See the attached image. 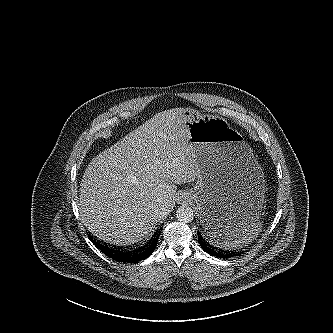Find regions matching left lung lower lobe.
Returning <instances> with one entry per match:
<instances>
[{
  "instance_id": "obj_1",
  "label": "left lung lower lobe",
  "mask_w": 333,
  "mask_h": 333,
  "mask_svg": "<svg viewBox=\"0 0 333 333\" xmlns=\"http://www.w3.org/2000/svg\"><path fill=\"white\" fill-rule=\"evenodd\" d=\"M224 233L221 223L212 222L204 225V228L198 231L201 248L208 254L223 259L237 256V252L226 250L218 244L225 236Z\"/></svg>"
}]
</instances>
